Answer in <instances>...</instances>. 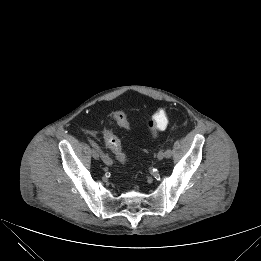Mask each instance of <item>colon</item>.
I'll return each mask as SVG.
<instances>
[{
    "label": "colon",
    "mask_w": 261,
    "mask_h": 261,
    "mask_svg": "<svg viewBox=\"0 0 261 261\" xmlns=\"http://www.w3.org/2000/svg\"><path fill=\"white\" fill-rule=\"evenodd\" d=\"M112 120L116 122L120 127L124 129H129L130 124L129 121L122 111H115L112 114ZM169 123V116L164 108H159L155 111V113L152 115L151 120L148 122V129L149 131L156 135L157 133L163 131L166 129ZM104 140L108 148L113 152L116 159L120 163L126 162V155L123 152L121 142L119 138L115 135L112 128L107 127L104 130Z\"/></svg>",
    "instance_id": "colon-1"
}]
</instances>
